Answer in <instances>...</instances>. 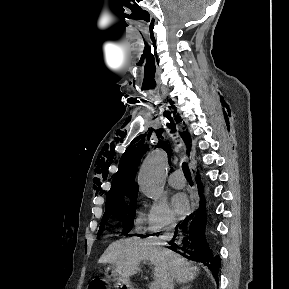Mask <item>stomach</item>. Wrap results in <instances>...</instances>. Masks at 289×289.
Masks as SVG:
<instances>
[{"label":"stomach","mask_w":289,"mask_h":289,"mask_svg":"<svg viewBox=\"0 0 289 289\" xmlns=\"http://www.w3.org/2000/svg\"><path fill=\"white\" fill-rule=\"evenodd\" d=\"M107 277L113 280L115 286L120 289H133L129 278L121 276L112 265H107L104 268Z\"/></svg>","instance_id":"stomach-1"}]
</instances>
